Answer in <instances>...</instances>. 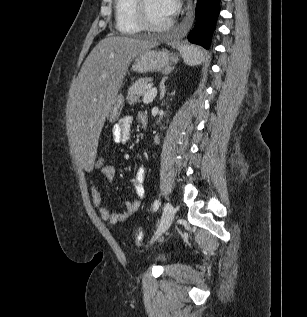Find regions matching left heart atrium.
I'll return each instance as SVG.
<instances>
[{
    "instance_id": "1",
    "label": "left heart atrium",
    "mask_w": 307,
    "mask_h": 317,
    "mask_svg": "<svg viewBox=\"0 0 307 317\" xmlns=\"http://www.w3.org/2000/svg\"><path fill=\"white\" fill-rule=\"evenodd\" d=\"M164 11L169 15H173L179 8L178 0H160Z\"/></svg>"
}]
</instances>
